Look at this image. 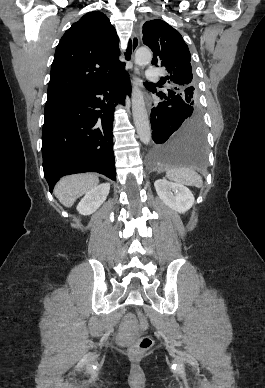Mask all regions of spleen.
<instances>
[{"label": "spleen", "instance_id": "1", "mask_svg": "<svg viewBox=\"0 0 265 388\" xmlns=\"http://www.w3.org/2000/svg\"><path fill=\"white\" fill-rule=\"evenodd\" d=\"M166 178L177 182V184H185V186H202V178L198 176L197 172H194L192 168H173V170H167Z\"/></svg>", "mask_w": 265, "mask_h": 388}]
</instances>
